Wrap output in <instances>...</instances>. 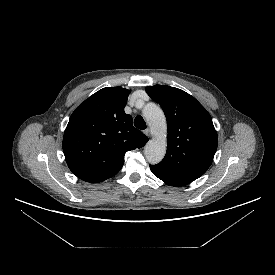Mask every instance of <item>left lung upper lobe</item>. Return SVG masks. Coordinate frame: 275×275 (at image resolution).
Segmentation results:
<instances>
[{
  "label": "left lung upper lobe",
  "mask_w": 275,
  "mask_h": 275,
  "mask_svg": "<svg viewBox=\"0 0 275 275\" xmlns=\"http://www.w3.org/2000/svg\"><path fill=\"white\" fill-rule=\"evenodd\" d=\"M146 92L167 119V151L157 166L196 180L210 167L218 138L207 110L190 94L170 86H149Z\"/></svg>",
  "instance_id": "5c2ea615"
}]
</instances>
